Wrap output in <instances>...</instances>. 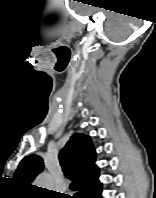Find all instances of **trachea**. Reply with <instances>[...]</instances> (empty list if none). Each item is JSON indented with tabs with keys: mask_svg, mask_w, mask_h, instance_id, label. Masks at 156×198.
<instances>
[{
	"mask_svg": "<svg viewBox=\"0 0 156 198\" xmlns=\"http://www.w3.org/2000/svg\"><path fill=\"white\" fill-rule=\"evenodd\" d=\"M83 194L81 192L75 193L73 198H82Z\"/></svg>",
	"mask_w": 156,
	"mask_h": 198,
	"instance_id": "obj_1",
	"label": "trachea"
}]
</instances>
